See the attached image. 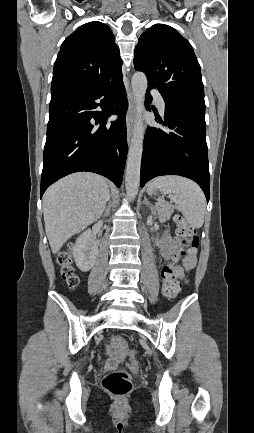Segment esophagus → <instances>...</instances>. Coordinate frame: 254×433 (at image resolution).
<instances>
[{"label": "esophagus", "instance_id": "1", "mask_svg": "<svg viewBox=\"0 0 254 433\" xmlns=\"http://www.w3.org/2000/svg\"><path fill=\"white\" fill-rule=\"evenodd\" d=\"M135 116V99L133 92L129 89L128 92V110L126 113V127H127V142L130 144L133 130V122Z\"/></svg>", "mask_w": 254, "mask_h": 433}]
</instances>
